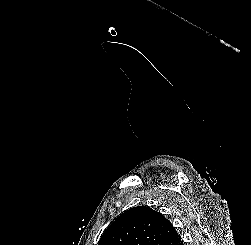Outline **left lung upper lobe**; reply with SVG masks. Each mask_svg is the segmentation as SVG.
Instances as JSON below:
<instances>
[{"mask_svg": "<svg viewBox=\"0 0 251 245\" xmlns=\"http://www.w3.org/2000/svg\"><path fill=\"white\" fill-rule=\"evenodd\" d=\"M181 237L162 214L146 206L130 208L104 231L99 245H179Z\"/></svg>", "mask_w": 251, "mask_h": 245, "instance_id": "1", "label": "left lung upper lobe"}]
</instances>
